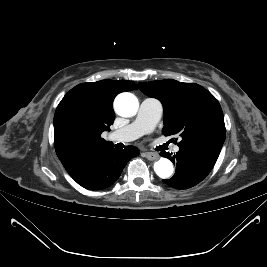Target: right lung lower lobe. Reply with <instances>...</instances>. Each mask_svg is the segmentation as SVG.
<instances>
[{
  "label": "right lung lower lobe",
  "instance_id": "right-lung-lower-lobe-1",
  "mask_svg": "<svg viewBox=\"0 0 267 267\" xmlns=\"http://www.w3.org/2000/svg\"><path fill=\"white\" fill-rule=\"evenodd\" d=\"M139 153L134 146H127L124 150L112 145L99 146L81 155L65 169L82 187L105 189L120 177L127 162Z\"/></svg>",
  "mask_w": 267,
  "mask_h": 267
}]
</instances>
